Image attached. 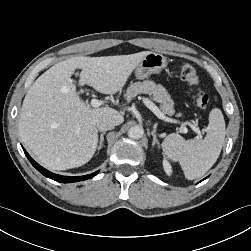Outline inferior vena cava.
<instances>
[{"mask_svg": "<svg viewBox=\"0 0 251 251\" xmlns=\"http://www.w3.org/2000/svg\"><path fill=\"white\" fill-rule=\"evenodd\" d=\"M115 125H116V123L107 117L99 118L96 122V127L101 132L112 130V129H114Z\"/></svg>", "mask_w": 251, "mask_h": 251, "instance_id": "inferior-vena-cava-1", "label": "inferior vena cava"}]
</instances>
